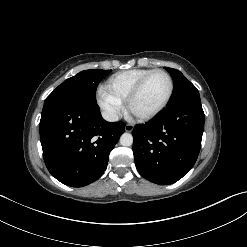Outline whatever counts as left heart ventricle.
I'll use <instances>...</instances> for the list:
<instances>
[{"label": "left heart ventricle", "instance_id": "left-heart-ventricle-1", "mask_svg": "<svg viewBox=\"0 0 247 247\" xmlns=\"http://www.w3.org/2000/svg\"><path fill=\"white\" fill-rule=\"evenodd\" d=\"M169 90V81L161 73L152 75L144 85L141 93L132 104L135 114H147L162 104Z\"/></svg>", "mask_w": 247, "mask_h": 247}]
</instances>
